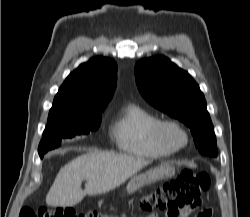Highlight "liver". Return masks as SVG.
I'll return each mask as SVG.
<instances>
[{
  "mask_svg": "<svg viewBox=\"0 0 250 217\" xmlns=\"http://www.w3.org/2000/svg\"><path fill=\"white\" fill-rule=\"evenodd\" d=\"M149 164L144 158L91 151L80 155L58 172L47 196L48 206L71 207L86 195L109 192ZM86 180L85 190L82 181Z\"/></svg>",
  "mask_w": 250,
  "mask_h": 217,
  "instance_id": "liver-1",
  "label": "liver"
}]
</instances>
